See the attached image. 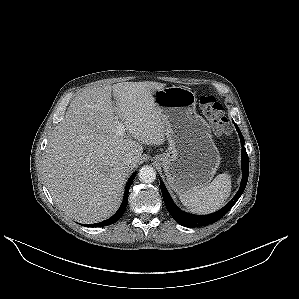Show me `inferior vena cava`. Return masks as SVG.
I'll use <instances>...</instances> for the list:
<instances>
[{
  "label": "inferior vena cava",
  "mask_w": 299,
  "mask_h": 299,
  "mask_svg": "<svg viewBox=\"0 0 299 299\" xmlns=\"http://www.w3.org/2000/svg\"><path fill=\"white\" fill-rule=\"evenodd\" d=\"M132 161H133L132 156L127 155V156L124 157V159H123V165H124V166H129V165L132 163Z\"/></svg>",
  "instance_id": "1"
}]
</instances>
